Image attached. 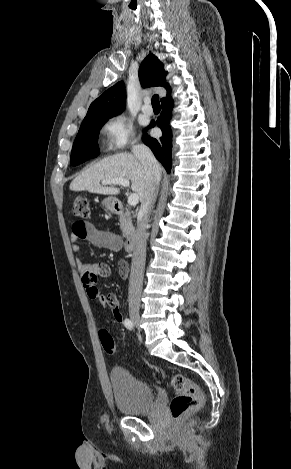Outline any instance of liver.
<instances>
[{"label":"liver","mask_w":291,"mask_h":469,"mask_svg":"<svg viewBox=\"0 0 291 469\" xmlns=\"http://www.w3.org/2000/svg\"><path fill=\"white\" fill-rule=\"evenodd\" d=\"M161 174V167L159 165ZM124 178L131 181V189L142 202L150 182L143 164L131 153H118L108 156L84 170L70 184L72 191H90L102 195H117L120 189L103 186V181Z\"/></svg>","instance_id":"liver-1"}]
</instances>
